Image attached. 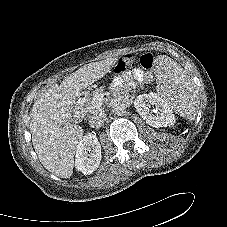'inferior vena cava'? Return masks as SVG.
<instances>
[{
    "instance_id": "inferior-vena-cava-1",
    "label": "inferior vena cava",
    "mask_w": 227,
    "mask_h": 227,
    "mask_svg": "<svg viewBox=\"0 0 227 227\" xmlns=\"http://www.w3.org/2000/svg\"><path fill=\"white\" fill-rule=\"evenodd\" d=\"M106 120V114L104 111L99 110V111H95L93 112L90 116H89V125L93 128H100L104 122Z\"/></svg>"
}]
</instances>
